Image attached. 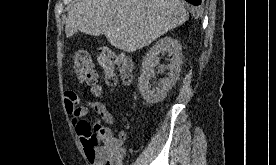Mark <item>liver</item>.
<instances>
[{
    "instance_id": "6515ba94",
    "label": "liver",
    "mask_w": 276,
    "mask_h": 165,
    "mask_svg": "<svg viewBox=\"0 0 276 165\" xmlns=\"http://www.w3.org/2000/svg\"><path fill=\"white\" fill-rule=\"evenodd\" d=\"M188 17L181 0H81L68 12L65 33L104 34L112 46L135 52Z\"/></svg>"
}]
</instances>
